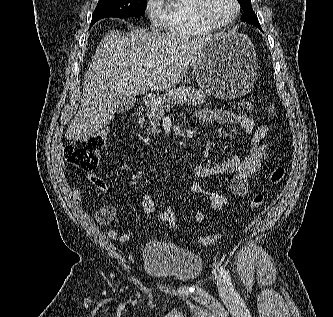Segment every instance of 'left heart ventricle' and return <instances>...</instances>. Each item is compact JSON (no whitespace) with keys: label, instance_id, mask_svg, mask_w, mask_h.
Wrapping results in <instances>:
<instances>
[{"label":"left heart ventricle","instance_id":"b2bd125f","mask_svg":"<svg viewBox=\"0 0 333 317\" xmlns=\"http://www.w3.org/2000/svg\"><path fill=\"white\" fill-rule=\"evenodd\" d=\"M235 12L233 0H208L207 14L216 22L229 20Z\"/></svg>","mask_w":333,"mask_h":317}]
</instances>
